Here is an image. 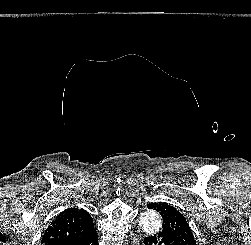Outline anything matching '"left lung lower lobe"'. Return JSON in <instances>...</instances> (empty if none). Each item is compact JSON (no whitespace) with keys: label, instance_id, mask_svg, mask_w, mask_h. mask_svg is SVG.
Listing matches in <instances>:
<instances>
[{"label":"left lung lower lobe","instance_id":"left-lung-lower-lobe-1","mask_svg":"<svg viewBox=\"0 0 251 245\" xmlns=\"http://www.w3.org/2000/svg\"><path fill=\"white\" fill-rule=\"evenodd\" d=\"M181 245L175 241L168 233H158L157 235L148 236L145 238V245Z\"/></svg>","mask_w":251,"mask_h":245}]
</instances>
